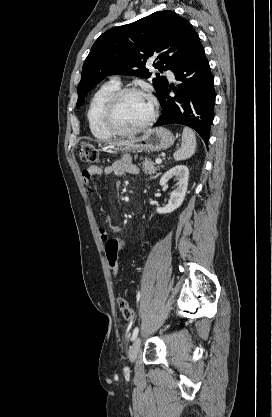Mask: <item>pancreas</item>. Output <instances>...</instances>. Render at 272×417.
<instances>
[{
	"mask_svg": "<svg viewBox=\"0 0 272 417\" xmlns=\"http://www.w3.org/2000/svg\"><path fill=\"white\" fill-rule=\"evenodd\" d=\"M142 167V170L146 174H154L159 169V167L154 166V162L150 158H145L142 164H140Z\"/></svg>",
	"mask_w": 272,
	"mask_h": 417,
	"instance_id": "pancreas-1",
	"label": "pancreas"
}]
</instances>
